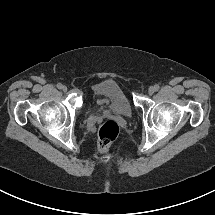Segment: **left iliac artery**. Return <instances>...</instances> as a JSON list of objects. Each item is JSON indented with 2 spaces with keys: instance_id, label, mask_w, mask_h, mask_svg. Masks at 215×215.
Instances as JSON below:
<instances>
[{
  "instance_id": "1",
  "label": "left iliac artery",
  "mask_w": 215,
  "mask_h": 215,
  "mask_svg": "<svg viewBox=\"0 0 215 215\" xmlns=\"http://www.w3.org/2000/svg\"><path fill=\"white\" fill-rule=\"evenodd\" d=\"M154 88H155V91H157V90H159V85L158 84H156V85H154Z\"/></svg>"
}]
</instances>
